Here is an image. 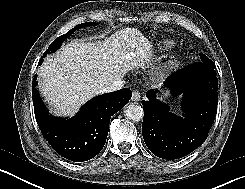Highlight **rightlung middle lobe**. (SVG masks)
I'll return each mask as SVG.
<instances>
[{"label": "right lung middle lobe", "instance_id": "obj_1", "mask_svg": "<svg viewBox=\"0 0 245 189\" xmlns=\"http://www.w3.org/2000/svg\"><path fill=\"white\" fill-rule=\"evenodd\" d=\"M96 25L95 22H87V23H83V24H79L77 26H75L73 29H71L69 32H67L66 34L59 36L48 48V50L45 51L44 55L42 56L45 57L48 53L51 52H55V50H57L60 45L62 44V42L67 39L69 36H71V34L73 32H75L77 29L82 28V27H86V26H93Z\"/></svg>", "mask_w": 245, "mask_h": 189}]
</instances>
